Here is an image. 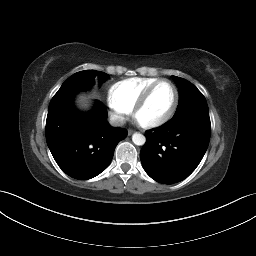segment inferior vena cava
<instances>
[{
    "label": "inferior vena cava",
    "mask_w": 256,
    "mask_h": 256,
    "mask_svg": "<svg viewBox=\"0 0 256 256\" xmlns=\"http://www.w3.org/2000/svg\"><path fill=\"white\" fill-rule=\"evenodd\" d=\"M109 123L114 127L123 126L125 124V118L118 115H111Z\"/></svg>",
    "instance_id": "inferior-vena-cava-1"
}]
</instances>
